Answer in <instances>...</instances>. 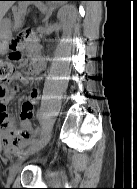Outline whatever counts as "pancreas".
<instances>
[{
	"label": "pancreas",
	"mask_w": 137,
	"mask_h": 189,
	"mask_svg": "<svg viewBox=\"0 0 137 189\" xmlns=\"http://www.w3.org/2000/svg\"><path fill=\"white\" fill-rule=\"evenodd\" d=\"M13 14H14V21L15 26H19L22 23V20L24 19V15L26 13V10L24 7H13Z\"/></svg>",
	"instance_id": "cf45deb5"
}]
</instances>
